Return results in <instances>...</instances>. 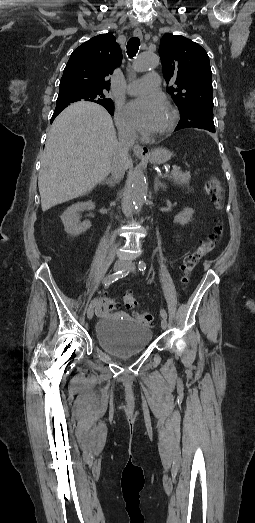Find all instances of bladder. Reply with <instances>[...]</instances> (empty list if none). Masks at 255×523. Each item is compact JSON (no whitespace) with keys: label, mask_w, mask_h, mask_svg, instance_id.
<instances>
[{"label":"bladder","mask_w":255,"mask_h":523,"mask_svg":"<svg viewBox=\"0 0 255 523\" xmlns=\"http://www.w3.org/2000/svg\"><path fill=\"white\" fill-rule=\"evenodd\" d=\"M128 323L119 326L114 317H103L95 330L96 342L108 353L127 356L141 352L151 344L152 329L126 318Z\"/></svg>","instance_id":"1"}]
</instances>
